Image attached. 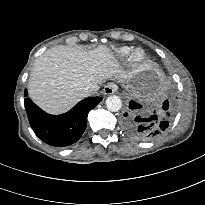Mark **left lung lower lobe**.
<instances>
[{
    "label": "left lung lower lobe",
    "mask_w": 205,
    "mask_h": 205,
    "mask_svg": "<svg viewBox=\"0 0 205 205\" xmlns=\"http://www.w3.org/2000/svg\"><path fill=\"white\" fill-rule=\"evenodd\" d=\"M131 110L139 109L141 106L134 101L130 102ZM173 105L164 101L162 108L159 111H154L148 118L135 117V112L125 113L123 127L132 137L150 141L162 135L169 127L173 118Z\"/></svg>",
    "instance_id": "left-lung-lower-lobe-1"
}]
</instances>
